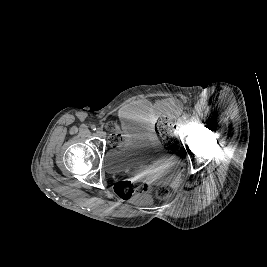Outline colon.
I'll return each instance as SVG.
<instances>
[{
  "mask_svg": "<svg viewBox=\"0 0 267 267\" xmlns=\"http://www.w3.org/2000/svg\"><path fill=\"white\" fill-rule=\"evenodd\" d=\"M104 127L109 133V142L112 146H116L122 142L123 136L117 123L109 121L105 123ZM174 127V123L168 117L161 118L156 125V129L166 137L167 146H176V141L173 137ZM150 191H153L159 198H165L169 195V188L166 185L157 184L153 189L152 184L146 180L133 182L124 180L116 185L117 195L124 200L136 198Z\"/></svg>",
  "mask_w": 267,
  "mask_h": 267,
  "instance_id": "1",
  "label": "colon"
}]
</instances>
